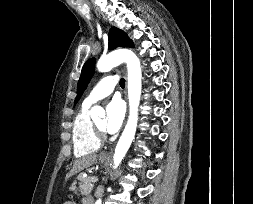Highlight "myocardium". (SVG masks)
<instances>
[{"mask_svg": "<svg viewBox=\"0 0 253 204\" xmlns=\"http://www.w3.org/2000/svg\"><path fill=\"white\" fill-rule=\"evenodd\" d=\"M93 127H94V131H95V134H96V137L98 138V140L100 142L105 140L104 130L100 129L95 123H93Z\"/></svg>", "mask_w": 253, "mask_h": 204, "instance_id": "f54148a6", "label": "myocardium"}]
</instances>
